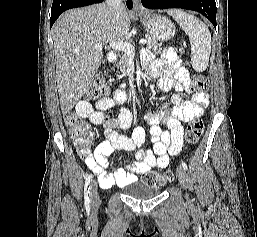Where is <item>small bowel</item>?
Masks as SVG:
<instances>
[{
    "mask_svg": "<svg viewBox=\"0 0 257 237\" xmlns=\"http://www.w3.org/2000/svg\"><path fill=\"white\" fill-rule=\"evenodd\" d=\"M145 66L151 75L159 78V86L163 91L175 89L171 104L159 106L157 112L146 113L152 150L142 148L146 138L143 127L134 128L131 136L119 133L127 130L131 124L132 114L127 108L121 107L115 116L105 114L112 107L123 104V99L116 93L114 97L99 100L95 106L84 100L76 105L80 117L89 119L93 125L104 130V139L93 148L87 143H76L78 154L97 175L104 188L122 187L134 181L139 174L166 168L170 158L182 150L184 123L201 117L203 109L209 104V96L204 92H195L189 100L183 98L184 91L191 92L189 74L181 66L173 49L164 50L161 59L146 62ZM115 150L133 153L135 162L125 168L110 170L108 157Z\"/></svg>",
    "mask_w": 257,
    "mask_h": 237,
    "instance_id": "1",
    "label": "small bowel"
}]
</instances>
